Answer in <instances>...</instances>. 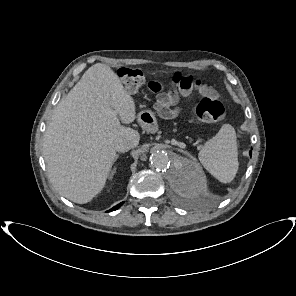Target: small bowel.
<instances>
[{
    "mask_svg": "<svg viewBox=\"0 0 296 296\" xmlns=\"http://www.w3.org/2000/svg\"><path fill=\"white\" fill-rule=\"evenodd\" d=\"M151 90L158 92L160 85L156 82L149 83ZM207 94L213 95L211 88L208 89ZM178 102V95L174 92L161 93L156 102V109L158 113L164 118L174 117L178 113V108L174 107Z\"/></svg>",
    "mask_w": 296,
    "mask_h": 296,
    "instance_id": "1",
    "label": "small bowel"
}]
</instances>
